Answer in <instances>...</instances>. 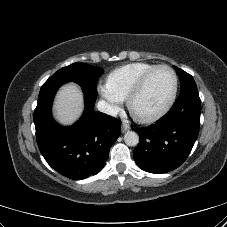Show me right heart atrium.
<instances>
[{
    "instance_id": "d8ad5b80",
    "label": "right heart atrium",
    "mask_w": 227,
    "mask_h": 227,
    "mask_svg": "<svg viewBox=\"0 0 227 227\" xmlns=\"http://www.w3.org/2000/svg\"><path fill=\"white\" fill-rule=\"evenodd\" d=\"M98 92L101 97L106 101L107 109L109 112H116L122 105L123 100L118 97L107 84H100Z\"/></svg>"
}]
</instances>
